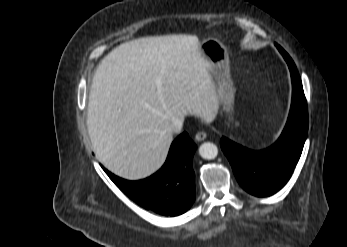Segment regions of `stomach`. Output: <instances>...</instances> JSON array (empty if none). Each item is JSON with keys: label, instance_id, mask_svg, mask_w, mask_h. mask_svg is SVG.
I'll return each instance as SVG.
<instances>
[{"label": "stomach", "instance_id": "stomach-1", "mask_svg": "<svg viewBox=\"0 0 347 247\" xmlns=\"http://www.w3.org/2000/svg\"><path fill=\"white\" fill-rule=\"evenodd\" d=\"M199 52L202 57L211 65L218 83V93L223 111L227 114V124L235 125V92L233 80L231 78L229 55L226 47L217 39L208 38L199 45Z\"/></svg>", "mask_w": 347, "mask_h": 247}]
</instances>
